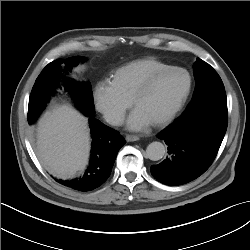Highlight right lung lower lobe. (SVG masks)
<instances>
[{
	"label": "right lung lower lobe",
	"mask_w": 250,
	"mask_h": 250,
	"mask_svg": "<svg viewBox=\"0 0 250 250\" xmlns=\"http://www.w3.org/2000/svg\"><path fill=\"white\" fill-rule=\"evenodd\" d=\"M92 151L89 166L85 173L71 180H56L58 183L77 191H91L103 184L111 170L125 140L119 133L104 125L94 116H89Z\"/></svg>",
	"instance_id": "98d812e1"
}]
</instances>
